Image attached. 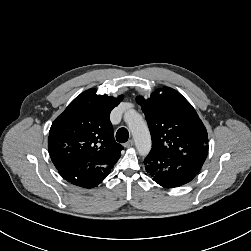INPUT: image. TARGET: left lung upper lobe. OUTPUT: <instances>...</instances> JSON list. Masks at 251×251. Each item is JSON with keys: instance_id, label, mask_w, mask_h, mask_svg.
<instances>
[{"instance_id": "obj_1", "label": "left lung upper lobe", "mask_w": 251, "mask_h": 251, "mask_svg": "<svg viewBox=\"0 0 251 251\" xmlns=\"http://www.w3.org/2000/svg\"><path fill=\"white\" fill-rule=\"evenodd\" d=\"M136 101L141 105L150 129V152L204 163L208 154L206 128L179 92L164 87L157 89L149 99L138 96Z\"/></svg>"}]
</instances>
